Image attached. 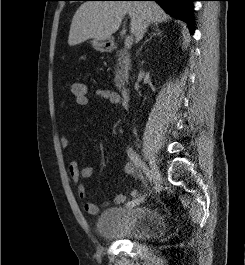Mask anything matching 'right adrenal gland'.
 Instances as JSON below:
<instances>
[{
	"label": "right adrenal gland",
	"instance_id": "obj_1",
	"mask_svg": "<svg viewBox=\"0 0 245 265\" xmlns=\"http://www.w3.org/2000/svg\"><path fill=\"white\" fill-rule=\"evenodd\" d=\"M153 30H154V32L152 33V35L150 36V38L149 39H147L146 41H145V43L146 42H148L149 40H151L152 39V37H154V36H162V31L159 29V26L156 24V25H154V28H153ZM144 43V44H145Z\"/></svg>",
	"mask_w": 245,
	"mask_h": 265
}]
</instances>
